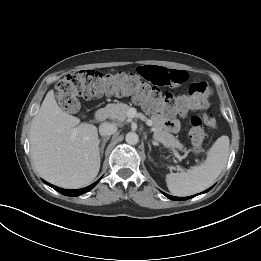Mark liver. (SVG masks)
<instances>
[{"mask_svg": "<svg viewBox=\"0 0 261 261\" xmlns=\"http://www.w3.org/2000/svg\"><path fill=\"white\" fill-rule=\"evenodd\" d=\"M29 139L33 164L48 182L76 189L89 185L98 175L97 127L64 112L53 90L32 120Z\"/></svg>", "mask_w": 261, "mask_h": 261, "instance_id": "obj_1", "label": "liver"}]
</instances>
